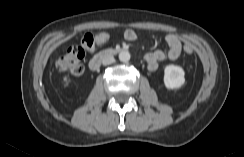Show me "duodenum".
Returning <instances> with one entry per match:
<instances>
[{
	"label": "duodenum",
	"instance_id": "410a0bca",
	"mask_svg": "<svg viewBox=\"0 0 244 157\" xmlns=\"http://www.w3.org/2000/svg\"><path fill=\"white\" fill-rule=\"evenodd\" d=\"M121 51H123V49L121 48H111V49H106L103 50L97 54H95L90 62H89V68L92 71H95L96 69L99 68V66L101 65L102 61L110 56L116 55L118 53H120Z\"/></svg>",
	"mask_w": 244,
	"mask_h": 157
}]
</instances>
